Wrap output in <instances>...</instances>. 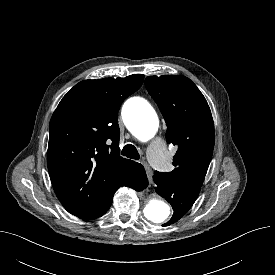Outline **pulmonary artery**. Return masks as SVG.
<instances>
[{
  "mask_svg": "<svg viewBox=\"0 0 275 275\" xmlns=\"http://www.w3.org/2000/svg\"><path fill=\"white\" fill-rule=\"evenodd\" d=\"M148 157L150 162L157 169H162L166 164L165 145L161 139H155L148 148Z\"/></svg>",
  "mask_w": 275,
  "mask_h": 275,
  "instance_id": "1",
  "label": "pulmonary artery"
}]
</instances>
